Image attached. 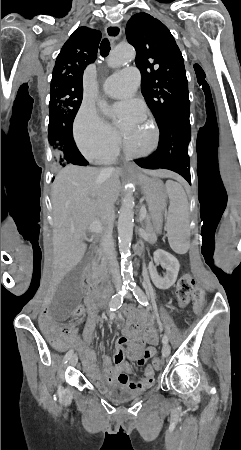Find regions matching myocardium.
Instances as JSON below:
<instances>
[{
	"instance_id": "1",
	"label": "myocardium",
	"mask_w": 241,
	"mask_h": 450,
	"mask_svg": "<svg viewBox=\"0 0 241 450\" xmlns=\"http://www.w3.org/2000/svg\"><path fill=\"white\" fill-rule=\"evenodd\" d=\"M156 123L155 122H149V127H155ZM158 130H152L151 131V140H148V145H150V148H147L145 153H138V155L136 156L137 158L139 157H151L152 153H153V149H157V144H155V142L158 141Z\"/></svg>"
}]
</instances>
